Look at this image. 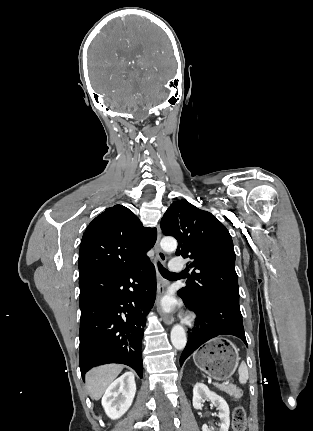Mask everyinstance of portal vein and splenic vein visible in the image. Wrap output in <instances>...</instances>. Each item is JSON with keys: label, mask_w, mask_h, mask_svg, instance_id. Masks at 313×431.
Instances as JSON below:
<instances>
[{"label": "portal vein and splenic vein", "mask_w": 313, "mask_h": 431, "mask_svg": "<svg viewBox=\"0 0 313 431\" xmlns=\"http://www.w3.org/2000/svg\"><path fill=\"white\" fill-rule=\"evenodd\" d=\"M228 382H225L223 385H226Z\"/></svg>", "instance_id": "obj_1"}]
</instances>
